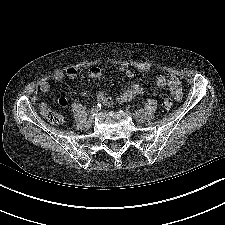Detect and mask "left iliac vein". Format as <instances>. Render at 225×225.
Segmentation results:
<instances>
[{"instance_id":"left-iliac-vein-1","label":"left iliac vein","mask_w":225,"mask_h":225,"mask_svg":"<svg viewBox=\"0 0 225 225\" xmlns=\"http://www.w3.org/2000/svg\"><path fill=\"white\" fill-rule=\"evenodd\" d=\"M131 116L134 118V120H136L137 122H140V123L145 120V115H143L139 112L131 113Z\"/></svg>"}]
</instances>
